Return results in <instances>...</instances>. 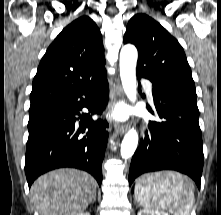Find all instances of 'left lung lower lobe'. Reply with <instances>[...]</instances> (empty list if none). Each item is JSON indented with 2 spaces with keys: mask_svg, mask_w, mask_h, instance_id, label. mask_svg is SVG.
<instances>
[{
  "mask_svg": "<svg viewBox=\"0 0 221 215\" xmlns=\"http://www.w3.org/2000/svg\"><path fill=\"white\" fill-rule=\"evenodd\" d=\"M152 94L163 121L150 122L151 138L146 135L134 153L129 184L146 172L175 170L190 176L200 189L204 156L197 98L157 85H153Z\"/></svg>",
  "mask_w": 221,
  "mask_h": 215,
  "instance_id": "1",
  "label": "left lung lower lobe"
}]
</instances>
